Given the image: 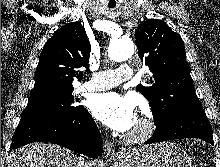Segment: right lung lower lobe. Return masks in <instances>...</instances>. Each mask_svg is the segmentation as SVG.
<instances>
[{"label": "right lung lower lobe", "mask_w": 220, "mask_h": 167, "mask_svg": "<svg viewBox=\"0 0 220 167\" xmlns=\"http://www.w3.org/2000/svg\"><path fill=\"white\" fill-rule=\"evenodd\" d=\"M32 142L58 144L90 157L102 154L101 134L83 106L71 114L44 113L21 118L10 149Z\"/></svg>", "instance_id": "right-lung-lower-lobe-1"}]
</instances>
